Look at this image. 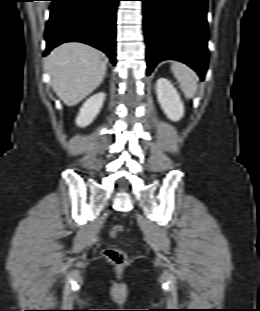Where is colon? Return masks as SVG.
<instances>
[{
	"mask_svg": "<svg viewBox=\"0 0 260 311\" xmlns=\"http://www.w3.org/2000/svg\"><path fill=\"white\" fill-rule=\"evenodd\" d=\"M124 228L120 225H115L112 228V235L117 237L121 235ZM104 257L112 264L122 266L127 262L126 253L119 248H106L103 252Z\"/></svg>",
	"mask_w": 260,
	"mask_h": 311,
	"instance_id": "5ec220e1",
	"label": "colon"
}]
</instances>
